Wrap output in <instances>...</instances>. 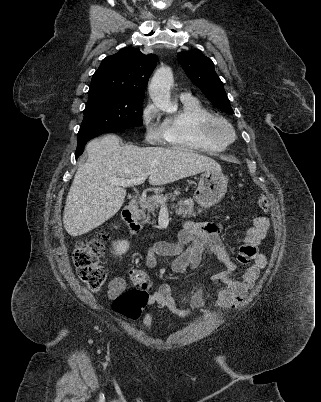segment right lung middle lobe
<instances>
[{
    "label": "right lung middle lobe",
    "instance_id": "dd1d6c3e",
    "mask_svg": "<svg viewBox=\"0 0 321 402\" xmlns=\"http://www.w3.org/2000/svg\"><path fill=\"white\" fill-rule=\"evenodd\" d=\"M142 103L143 99L128 98L104 91H89L78 136L140 126Z\"/></svg>",
    "mask_w": 321,
    "mask_h": 402
}]
</instances>
